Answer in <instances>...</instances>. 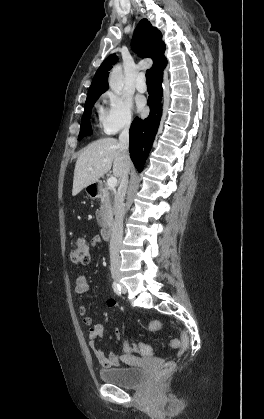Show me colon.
<instances>
[{
  "label": "colon",
  "instance_id": "5ec220e1",
  "mask_svg": "<svg viewBox=\"0 0 264 419\" xmlns=\"http://www.w3.org/2000/svg\"><path fill=\"white\" fill-rule=\"evenodd\" d=\"M71 260L74 263L77 264H87L90 261V247L88 244V241L84 238H79L75 242L74 247L71 250ZM159 323L156 321H153L150 323V329L151 331H158ZM171 347L173 348H181L182 352H184L188 346H189V337L186 332H182L181 334V340L179 339H172L170 342ZM132 346H136V344L133 343ZM142 351H145L142 347ZM175 368V362L174 361H168L165 362L159 371L160 376H165L170 374Z\"/></svg>",
  "mask_w": 264,
  "mask_h": 419
}]
</instances>
